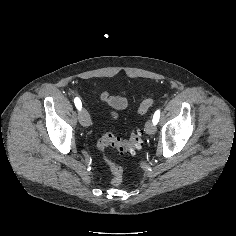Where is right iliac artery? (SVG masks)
<instances>
[{
  "mask_svg": "<svg viewBox=\"0 0 236 236\" xmlns=\"http://www.w3.org/2000/svg\"><path fill=\"white\" fill-rule=\"evenodd\" d=\"M74 103H75V106L77 107V109L80 110L81 106H82L81 100L78 97H76L74 99Z\"/></svg>",
  "mask_w": 236,
  "mask_h": 236,
  "instance_id": "obj_1",
  "label": "right iliac artery"
}]
</instances>
